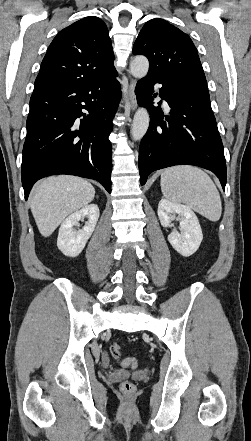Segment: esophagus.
Returning a JSON list of instances; mask_svg holds the SVG:
<instances>
[{
  "label": "esophagus",
  "instance_id": "1",
  "mask_svg": "<svg viewBox=\"0 0 251 441\" xmlns=\"http://www.w3.org/2000/svg\"><path fill=\"white\" fill-rule=\"evenodd\" d=\"M135 86H136V80L131 78L129 81L127 95L124 97V100L128 101L131 111H135V109L137 108Z\"/></svg>",
  "mask_w": 251,
  "mask_h": 441
}]
</instances>
